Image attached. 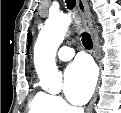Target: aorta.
Here are the masks:
<instances>
[{"mask_svg": "<svg viewBox=\"0 0 121 113\" xmlns=\"http://www.w3.org/2000/svg\"><path fill=\"white\" fill-rule=\"evenodd\" d=\"M72 19L69 14H53L41 29L34 47V65L40 84L48 92L59 91L62 81L55 56Z\"/></svg>", "mask_w": 121, "mask_h": 113, "instance_id": "1", "label": "aorta"}]
</instances>
